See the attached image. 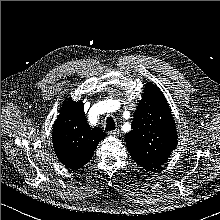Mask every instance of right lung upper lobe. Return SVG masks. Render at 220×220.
Wrapping results in <instances>:
<instances>
[{
    "label": "right lung upper lobe",
    "mask_w": 220,
    "mask_h": 220,
    "mask_svg": "<svg viewBox=\"0 0 220 220\" xmlns=\"http://www.w3.org/2000/svg\"><path fill=\"white\" fill-rule=\"evenodd\" d=\"M105 136L100 128L88 125L82 102L71 98L64 101L52 137L56 155L67 168L77 170L84 166Z\"/></svg>",
    "instance_id": "1"
}]
</instances>
